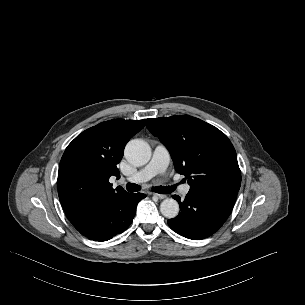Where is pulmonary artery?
Instances as JSON below:
<instances>
[{
  "instance_id": "obj_1",
  "label": "pulmonary artery",
  "mask_w": 305,
  "mask_h": 305,
  "mask_svg": "<svg viewBox=\"0 0 305 305\" xmlns=\"http://www.w3.org/2000/svg\"><path fill=\"white\" fill-rule=\"evenodd\" d=\"M170 162V155L167 148L162 144H157L153 150L151 161L134 175L127 177L130 182L141 183L148 181L157 174L165 172ZM190 185L185 184L180 187V193L187 195Z\"/></svg>"
}]
</instances>
